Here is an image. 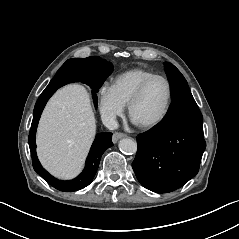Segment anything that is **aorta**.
<instances>
[{"mask_svg": "<svg viewBox=\"0 0 239 239\" xmlns=\"http://www.w3.org/2000/svg\"><path fill=\"white\" fill-rule=\"evenodd\" d=\"M119 149L127 154H135L137 152V143L135 140L124 138L119 142Z\"/></svg>", "mask_w": 239, "mask_h": 239, "instance_id": "obj_1", "label": "aorta"}]
</instances>
